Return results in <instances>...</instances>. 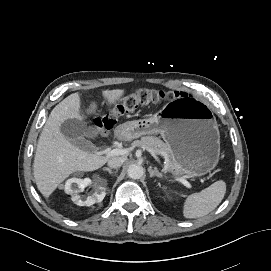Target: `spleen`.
Returning <instances> with one entry per match:
<instances>
[{"instance_id": "3e777b00", "label": "spleen", "mask_w": 271, "mask_h": 271, "mask_svg": "<svg viewBox=\"0 0 271 271\" xmlns=\"http://www.w3.org/2000/svg\"><path fill=\"white\" fill-rule=\"evenodd\" d=\"M225 193L226 183L219 180L201 192L187 196L183 205V216L194 219L209 214L221 203Z\"/></svg>"}]
</instances>
